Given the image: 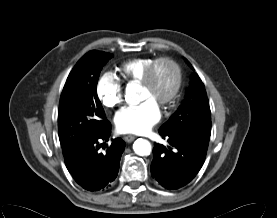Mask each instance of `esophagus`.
<instances>
[{
    "label": "esophagus",
    "instance_id": "34e87169",
    "mask_svg": "<svg viewBox=\"0 0 277 218\" xmlns=\"http://www.w3.org/2000/svg\"><path fill=\"white\" fill-rule=\"evenodd\" d=\"M136 137L134 135H127V136H124L123 139L125 142H132Z\"/></svg>",
    "mask_w": 277,
    "mask_h": 218
}]
</instances>
